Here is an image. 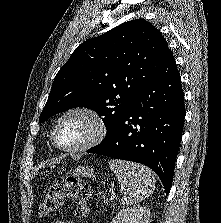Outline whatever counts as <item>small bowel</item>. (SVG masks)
<instances>
[{
  "label": "small bowel",
  "instance_id": "obj_1",
  "mask_svg": "<svg viewBox=\"0 0 221 223\" xmlns=\"http://www.w3.org/2000/svg\"><path fill=\"white\" fill-rule=\"evenodd\" d=\"M55 223H73L71 220H58Z\"/></svg>",
  "mask_w": 221,
  "mask_h": 223
}]
</instances>
